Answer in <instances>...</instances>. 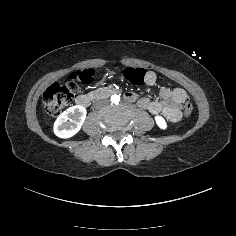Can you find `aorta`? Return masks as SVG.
Instances as JSON below:
<instances>
[{
  "instance_id": "aorta-1",
  "label": "aorta",
  "mask_w": 236,
  "mask_h": 236,
  "mask_svg": "<svg viewBox=\"0 0 236 236\" xmlns=\"http://www.w3.org/2000/svg\"><path fill=\"white\" fill-rule=\"evenodd\" d=\"M110 101L114 104H117L120 101V97L118 95H113L111 96Z\"/></svg>"
}]
</instances>
